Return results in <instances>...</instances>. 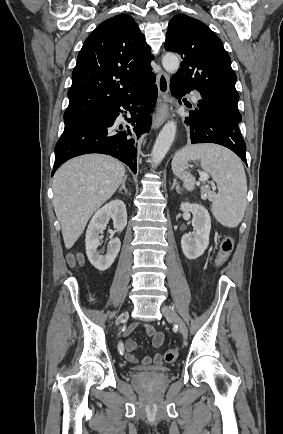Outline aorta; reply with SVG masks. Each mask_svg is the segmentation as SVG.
<instances>
[{"mask_svg":"<svg viewBox=\"0 0 283 434\" xmlns=\"http://www.w3.org/2000/svg\"><path fill=\"white\" fill-rule=\"evenodd\" d=\"M162 65L168 73L174 74L179 69V57L175 54L168 53L163 57ZM176 129V123L174 121H168L160 131L151 153L154 166H157L163 160L170 149L175 138Z\"/></svg>","mask_w":283,"mask_h":434,"instance_id":"obj_1","label":"aorta"}]
</instances>
